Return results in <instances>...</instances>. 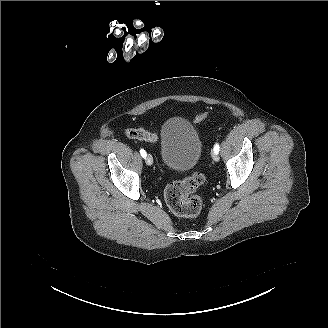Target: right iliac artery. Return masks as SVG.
<instances>
[{
  "label": "right iliac artery",
  "mask_w": 328,
  "mask_h": 328,
  "mask_svg": "<svg viewBox=\"0 0 328 328\" xmlns=\"http://www.w3.org/2000/svg\"><path fill=\"white\" fill-rule=\"evenodd\" d=\"M140 154H141V156H142L143 158L146 157V151H145L144 149H141V150H140Z\"/></svg>",
  "instance_id": "1"
}]
</instances>
